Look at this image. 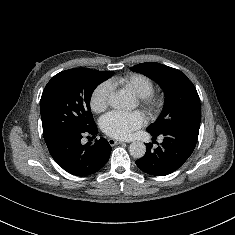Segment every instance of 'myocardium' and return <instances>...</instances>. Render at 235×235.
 I'll return each mask as SVG.
<instances>
[{
  "label": "myocardium",
  "mask_w": 235,
  "mask_h": 235,
  "mask_svg": "<svg viewBox=\"0 0 235 235\" xmlns=\"http://www.w3.org/2000/svg\"><path fill=\"white\" fill-rule=\"evenodd\" d=\"M138 103L151 115L159 113L164 106V100L162 96L153 92L145 96H139Z\"/></svg>",
  "instance_id": "1"
}]
</instances>
